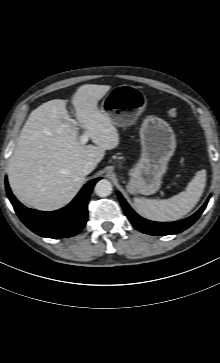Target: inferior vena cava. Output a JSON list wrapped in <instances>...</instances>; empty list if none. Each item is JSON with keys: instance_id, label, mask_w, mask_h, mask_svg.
Returning <instances> with one entry per match:
<instances>
[{"instance_id": "inferior-vena-cava-1", "label": "inferior vena cava", "mask_w": 220, "mask_h": 363, "mask_svg": "<svg viewBox=\"0 0 220 363\" xmlns=\"http://www.w3.org/2000/svg\"><path fill=\"white\" fill-rule=\"evenodd\" d=\"M95 167H96L95 163L88 161L82 165L81 170L83 174L88 175L95 169Z\"/></svg>"}]
</instances>
